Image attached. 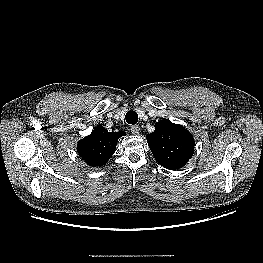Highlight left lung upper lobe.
<instances>
[{
  "label": "left lung upper lobe",
  "instance_id": "left-lung-upper-lobe-1",
  "mask_svg": "<svg viewBox=\"0 0 263 263\" xmlns=\"http://www.w3.org/2000/svg\"><path fill=\"white\" fill-rule=\"evenodd\" d=\"M156 161L166 169L183 167L194 152V138L183 127L169 120L155 124V131L146 135Z\"/></svg>",
  "mask_w": 263,
  "mask_h": 263
}]
</instances>
